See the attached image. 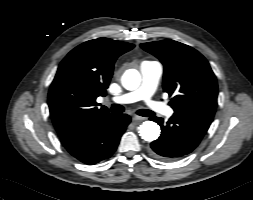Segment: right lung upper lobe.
<instances>
[{"mask_svg":"<svg viewBox=\"0 0 253 200\" xmlns=\"http://www.w3.org/2000/svg\"><path fill=\"white\" fill-rule=\"evenodd\" d=\"M133 47L98 38L77 46L63 59L48 94L50 115L61 138L111 115L107 108H97L96 98L106 95L115 60Z\"/></svg>","mask_w":253,"mask_h":200,"instance_id":"cb5924a9","label":"right lung upper lobe"}]
</instances>
